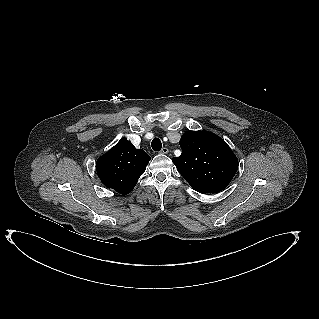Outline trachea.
<instances>
[{"mask_svg":"<svg viewBox=\"0 0 319 319\" xmlns=\"http://www.w3.org/2000/svg\"><path fill=\"white\" fill-rule=\"evenodd\" d=\"M151 146L154 151H160L162 148L161 140L159 138H154L151 142Z\"/></svg>","mask_w":319,"mask_h":319,"instance_id":"obj_1","label":"trachea"}]
</instances>
